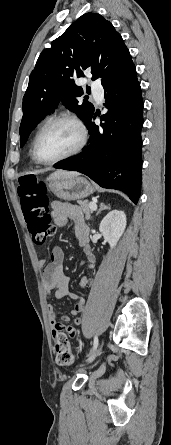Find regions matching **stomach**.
Instances as JSON below:
<instances>
[{"label":"stomach","mask_w":171,"mask_h":445,"mask_svg":"<svg viewBox=\"0 0 171 445\" xmlns=\"http://www.w3.org/2000/svg\"><path fill=\"white\" fill-rule=\"evenodd\" d=\"M47 180L50 190L62 200H80L95 192V187L86 178L78 175H51Z\"/></svg>","instance_id":"obj_1"}]
</instances>
